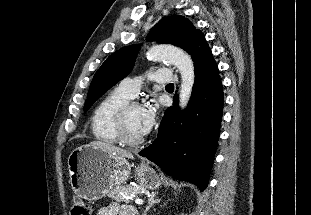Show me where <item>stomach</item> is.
<instances>
[{
	"label": "stomach",
	"instance_id": "1",
	"mask_svg": "<svg viewBox=\"0 0 311 215\" xmlns=\"http://www.w3.org/2000/svg\"><path fill=\"white\" fill-rule=\"evenodd\" d=\"M131 167L125 158L111 156L89 144L72 150L68 157L71 187L75 194L89 201L99 200L113 188L126 183ZM134 175L143 188L156 190L161 186L159 175L147 164L135 167Z\"/></svg>",
	"mask_w": 311,
	"mask_h": 215
}]
</instances>
